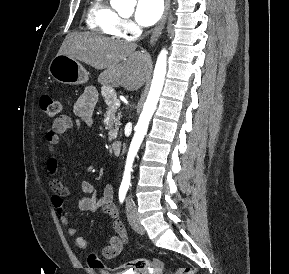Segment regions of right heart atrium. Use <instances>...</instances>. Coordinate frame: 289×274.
Returning a JSON list of instances; mask_svg holds the SVG:
<instances>
[{
  "label": "right heart atrium",
  "mask_w": 289,
  "mask_h": 274,
  "mask_svg": "<svg viewBox=\"0 0 289 274\" xmlns=\"http://www.w3.org/2000/svg\"><path fill=\"white\" fill-rule=\"evenodd\" d=\"M119 31L121 36L132 38L139 32V28L130 19L121 18L119 22Z\"/></svg>",
  "instance_id": "1"
}]
</instances>
